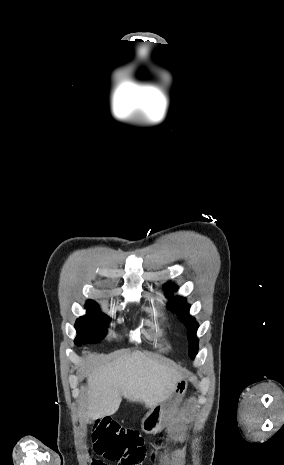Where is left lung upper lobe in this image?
<instances>
[{"label": "left lung upper lobe", "instance_id": "left-lung-upper-lobe-1", "mask_svg": "<svg viewBox=\"0 0 284 465\" xmlns=\"http://www.w3.org/2000/svg\"><path fill=\"white\" fill-rule=\"evenodd\" d=\"M166 293H172L175 290L174 285H165ZM168 309L175 312L178 317L185 324L188 329V340H189V356L194 359L198 352V339L196 337V330L198 323L189 315L190 305L186 303L185 298L175 297L167 305Z\"/></svg>", "mask_w": 284, "mask_h": 465}]
</instances>
